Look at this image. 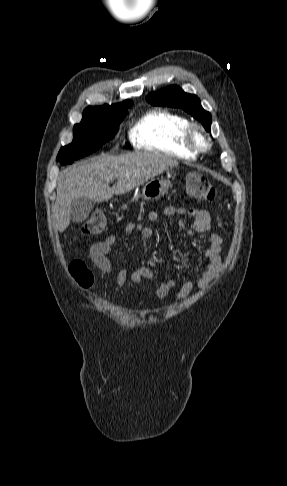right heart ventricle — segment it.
Listing matches in <instances>:
<instances>
[{"mask_svg": "<svg viewBox=\"0 0 287 486\" xmlns=\"http://www.w3.org/2000/svg\"><path fill=\"white\" fill-rule=\"evenodd\" d=\"M189 121L168 110H152L131 127L129 138L136 150L160 153L180 159L196 156L186 144L184 132Z\"/></svg>", "mask_w": 287, "mask_h": 486, "instance_id": "obj_1", "label": "right heart ventricle"}]
</instances>
